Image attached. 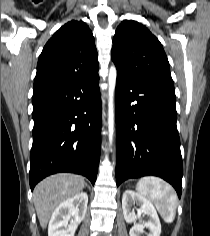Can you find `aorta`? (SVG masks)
Instances as JSON below:
<instances>
[{"instance_id":"762f6f07","label":"aorta","mask_w":210,"mask_h":236,"mask_svg":"<svg viewBox=\"0 0 210 236\" xmlns=\"http://www.w3.org/2000/svg\"><path fill=\"white\" fill-rule=\"evenodd\" d=\"M117 71L114 66L110 68L108 83H109V103H108V129H109V141L112 142L114 132V104L113 97L116 85Z\"/></svg>"}]
</instances>
